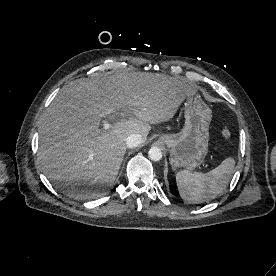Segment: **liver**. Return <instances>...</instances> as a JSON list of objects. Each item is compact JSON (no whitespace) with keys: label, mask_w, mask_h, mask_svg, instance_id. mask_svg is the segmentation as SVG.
I'll list each match as a JSON object with an SVG mask.
<instances>
[{"label":"liver","mask_w":276,"mask_h":276,"mask_svg":"<svg viewBox=\"0 0 276 276\" xmlns=\"http://www.w3.org/2000/svg\"><path fill=\"white\" fill-rule=\"evenodd\" d=\"M195 93L184 81L160 73L123 72L72 82L57 94L39 127L44 174L75 199L103 195L116 180L127 137L137 133L144 142L151 124L172 119ZM119 111L124 115L116 119ZM107 117L113 124L100 128Z\"/></svg>","instance_id":"obj_1"}]
</instances>
